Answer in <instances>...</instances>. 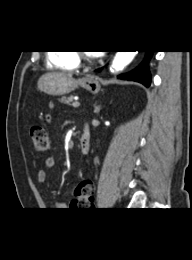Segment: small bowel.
<instances>
[{
	"instance_id": "1",
	"label": "small bowel",
	"mask_w": 192,
	"mask_h": 260,
	"mask_svg": "<svg viewBox=\"0 0 192 260\" xmlns=\"http://www.w3.org/2000/svg\"><path fill=\"white\" fill-rule=\"evenodd\" d=\"M48 120H50V116H48ZM56 166V160L54 157H49L45 161L46 169L50 170ZM47 177V173L44 169H41L37 173V181L39 183H44ZM93 205V200H85L84 202L73 200L71 203V207L73 208H90ZM53 207L56 210H62L66 208V203L63 201H55Z\"/></svg>"
}]
</instances>
